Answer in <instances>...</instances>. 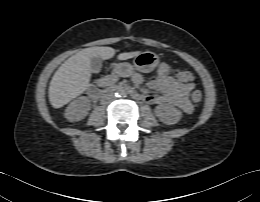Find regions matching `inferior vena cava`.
I'll use <instances>...</instances> for the list:
<instances>
[{
  "instance_id": "obj_1",
  "label": "inferior vena cava",
  "mask_w": 260,
  "mask_h": 202,
  "mask_svg": "<svg viewBox=\"0 0 260 202\" xmlns=\"http://www.w3.org/2000/svg\"><path fill=\"white\" fill-rule=\"evenodd\" d=\"M115 100V97L112 93L104 94L101 98V103L102 104H110Z\"/></svg>"
}]
</instances>
